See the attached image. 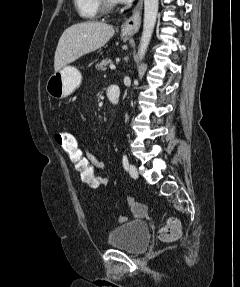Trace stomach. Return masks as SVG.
I'll return each mask as SVG.
<instances>
[{
    "label": "stomach",
    "instance_id": "0dacf381",
    "mask_svg": "<svg viewBox=\"0 0 240 287\" xmlns=\"http://www.w3.org/2000/svg\"><path fill=\"white\" fill-rule=\"evenodd\" d=\"M123 40L129 38V34L122 33ZM81 72L73 66H65L58 72L52 74L46 84L49 96L62 99L73 93L81 84Z\"/></svg>",
    "mask_w": 240,
    "mask_h": 287
}]
</instances>
